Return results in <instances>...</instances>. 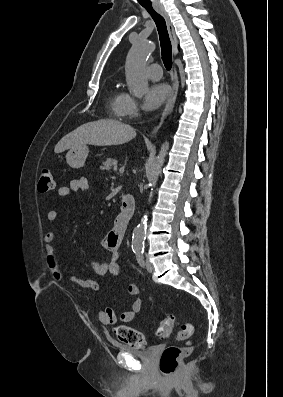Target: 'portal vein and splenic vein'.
Segmentation results:
<instances>
[{
    "label": "portal vein and splenic vein",
    "mask_w": 283,
    "mask_h": 397,
    "mask_svg": "<svg viewBox=\"0 0 283 397\" xmlns=\"http://www.w3.org/2000/svg\"><path fill=\"white\" fill-rule=\"evenodd\" d=\"M119 173H120V174H123V173H124V168H123V167H121V168L119 169Z\"/></svg>",
    "instance_id": "portal-vein-and-splenic-vein-1"
}]
</instances>
